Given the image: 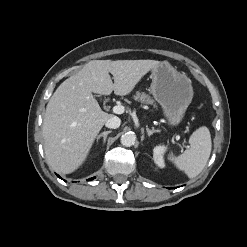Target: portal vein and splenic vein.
Instances as JSON below:
<instances>
[{"instance_id": "obj_1", "label": "portal vein and splenic vein", "mask_w": 247, "mask_h": 247, "mask_svg": "<svg viewBox=\"0 0 247 247\" xmlns=\"http://www.w3.org/2000/svg\"><path fill=\"white\" fill-rule=\"evenodd\" d=\"M124 111H125V108L122 105H117V106L113 107V112L115 114H122V113H124Z\"/></svg>"}]
</instances>
